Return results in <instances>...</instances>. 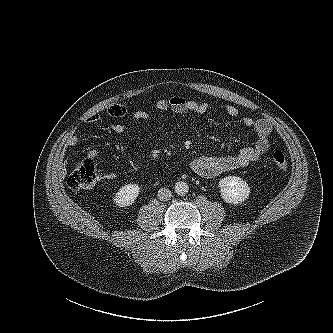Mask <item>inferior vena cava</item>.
Instances as JSON below:
<instances>
[{"label":"inferior vena cava","mask_w":333,"mask_h":333,"mask_svg":"<svg viewBox=\"0 0 333 333\" xmlns=\"http://www.w3.org/2000/svg\"><path fill=\"white\" fill-rule=\"evenodd\" d=\"M172 196V193L169 189L167 188H161L158 191V198L161 201H168Z\"/></svg>","instance_id":"inferior-vena-cava-1"}]
</instances>
